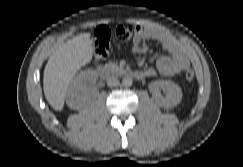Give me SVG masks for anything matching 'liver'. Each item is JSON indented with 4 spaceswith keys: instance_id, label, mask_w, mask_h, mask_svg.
I'll return each instance as SVG.
<instances>
[{
    "instance_id": "obj_1",
    "label": "liver",
    "mask_w": 243,
    "mask_h": 167,
    "mask_svg": "<svg viewBox=\"0 0 243 167\" xmlns=\"http://www.w3.org/2000/svg\"><path fill=\"white\" fill-rule=\"evenodd\" d=\"M90 33L80 34L53 50L44 69L43 90L51 107L62 111L67 89L81 67L93 55Z\"/></svg>"
}]
</instances>
